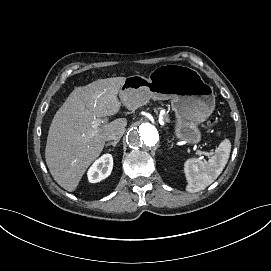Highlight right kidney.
<instances>
[{"label": "right kidney", "mask_w": 271, "mask_h": 271, "mask_svg": "<svg viewBox=\"0 0 271 271\" xmlns=\"http://www.w3.org/2000/svg\"><path fill=\"white\" fill-rule=\"evenodd\" d=\"M113 169V157L111 154H104L97 159L87 172L88 180L97 183L107 178Z\"/></svg>", "instance_id": "obj_1"}]
</instances>
